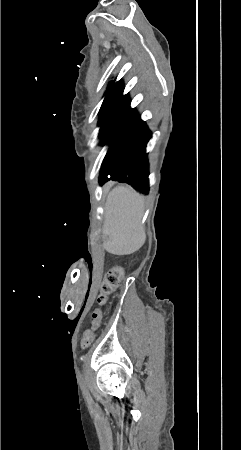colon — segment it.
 <instances>
[{
  "mask_svg": "<svg viewBox=\"0 0 241 450\" xmlns=\"http://www.w3.org/2000/svg\"><path fill=\"white\" fill-rule=\"evenodd\" d=\"M121 275L122 272L120 267L113 268L105 273L102 281L101 293L98 299V302H100L102 305H104L107 302L109 296L113 294L118 288ZM103 311L104 308L102 306H98L94 310L92 314V319L93 324L95 326H100L102 324ZM92 342H93V333L92 331L88 330L85 332L83 336L82 346L84 348H89Z\"/></svg>",
  "mask_w": 241,
  "mask_h": 450,
  "instance_id": "5ec220e1",
  "label": "colon"
}]
</instances>
